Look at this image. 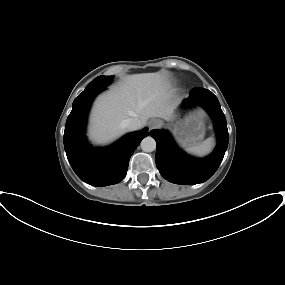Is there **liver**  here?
<instances>
[{"label":"liver","instance_id":"liver-1","mask_svg":"<svg viewBox=\"0 0 285 285\" xmlns=\"http://www.w3.org/2000/svg\"><path fill=\"white\" fill-rule=\"evenodd\" d=\"M172 95L170 83L161 73L127 76L94 102L90 139L98 144L116 139L126 132L121 123L128 118L139 119L141 126L151 117L170 120L176 108Z\"/></svg>","mask_w":285,"mask_h":285}]
</instances>
